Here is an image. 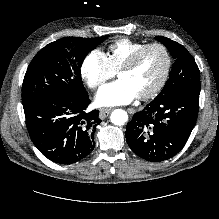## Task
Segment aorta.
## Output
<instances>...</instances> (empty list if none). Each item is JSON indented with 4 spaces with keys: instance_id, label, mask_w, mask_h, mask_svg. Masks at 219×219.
I'll return each instance as SVG.
<instances>
[{
    "instance_id": "aorta-1",
    "label": "aorta",
    "mask_w": 219,
    "mask_h": 219,
    "mask_svg": "<svg viewBox=\"0 0 219 219\" xmlns=\"http://www.w3.org/2000/svg\"><path fill=\"white\" fill-rule=\"evenodd\" d=\"M110 120L114 125L121 126L128 121V114L125 110L116 109L112 112Z\"/></svg>"
}]
</instances>
